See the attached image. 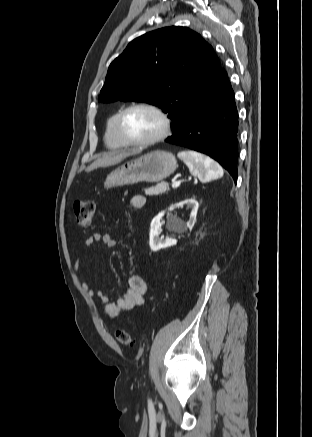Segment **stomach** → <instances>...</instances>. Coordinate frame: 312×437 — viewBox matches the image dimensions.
Instances as JSON below:
<instances>
[{"label":"stomach","mask_w":312,"mask_h":437,"mask_svg":"<svg viewBox=\"0 0 312 437\" xmlns=\"http://www.w3.org/2000/svg\"><path fill=\"white\" fill-rule=\"evenodd\" d=\"M177 167V160L171 152L152 151L113 170L104 186L112 188L139 182H159L173 174Z\"/></svg>","instance_id":"1"}]
</instances>
